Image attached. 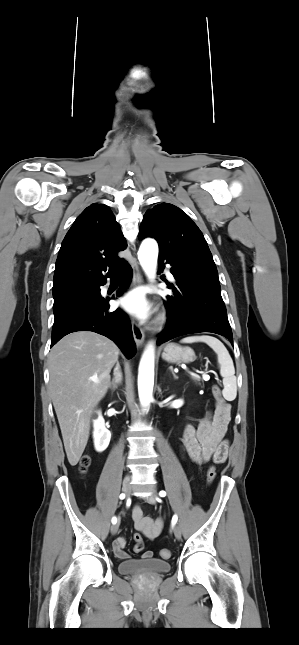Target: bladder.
<instances>
[{"instance_id":"bladder-1","label":"bladder","mask_w":299,"mask_h":645,"mask_svg":"<svg viewBox=\"0 0 299 645\" xmlns=\"http://www.w3.org/2000/svg\"><path fill=\"white\" fill-rule=\"evenodd\" d=\"M171 565L159 558L130 559L119 563L118 570L124 575H156L169 572Z\"/></svg>"}]
</instances>
